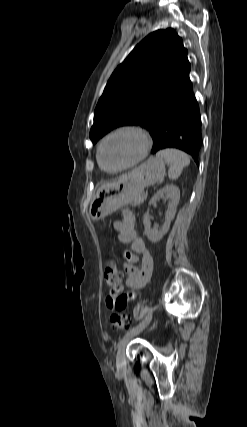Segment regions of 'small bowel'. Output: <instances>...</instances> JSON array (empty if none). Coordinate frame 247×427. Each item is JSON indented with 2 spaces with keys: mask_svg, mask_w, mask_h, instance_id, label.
<instances>
[{
  "mask_svg": "<svg viewBox=\"0 0 247 427\" xmlns=\"http://www.w3.org/2000/svg\"><path fill=\"white\" fill-rule=\"evenodd\" d=\"M114 228L118 240L130 244L132 250L123 253L122 265L127 274L126 280L112 289L106 298V306L110 310H121L135 298L136 291L149 281L153 272V257L143 239L137 235L136 218L132 212L124 211L121 219L114 223ZM138 255H141L140 266L136 265L139 262ZM125 288L131 291L123 294Z\"/></svg>",
  "mask_w": 247,
  "mask_h": 427,
  "instance_id": "obj_1",
  "label": "small bowel"
}]
</instances>
